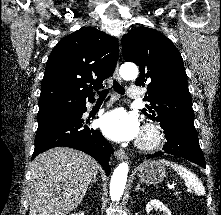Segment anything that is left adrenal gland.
Masks as SVG:
<instances>
[{"label":"left adrenal gland","instance_id":"a2214340","mask_svg":"<svg viewBox=\"0 0 221 215\" xmlns=\"http://www.w3.org/2000/svg\"><path fill=\"white\" fill-rule=\"evenodd\" d=\"M138 190H143V189L140 187V184H139V183L137 184V187H136L135 191H138Z\"/></svg>","mask_w":221,"mask_h":215}]
</instances>
